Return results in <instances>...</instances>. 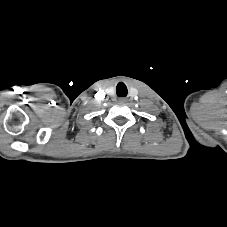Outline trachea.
<instances>
[{
	"mask_svg": "<svg viewBox=\"0 0 227 227\" xmlns=\"http://www.w3.org/2000/svg\"><path fill=\"white\" fill-rule=\"evenodd\" d=\"M117 95L119 97H125L127 95V88L123 83H119L117 86Z\"/></svg>",
	"mask_w": 227,
	"mask_h": 227,
	"instance_id": "3493384b",
	"label": "trachea"
}]
</instances>
